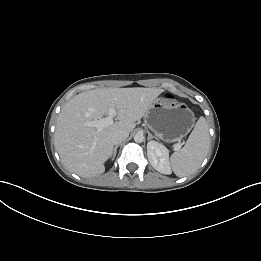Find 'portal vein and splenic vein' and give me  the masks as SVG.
Instances as JSON below:
<instances>
[{"label": "portal vein and splenic vein", "mask_w": 261, "mask_h": 261, "mask_svg": "<svg viewBox=\"0 0 261 261\" xmlns=\"http://www.w3.org/2000/svg\"><path fill=\"white\" fill-rule=\"evenodd\" d=\"M116 115V110L114 108H110L108 111V116L99 120H95V121H89L86 122L85 125L89 126V127H95L97 128V130H101L104 127H107L109 125H112L114 123L113 118ZM181 149V144H177L174 147V150L178 151Z\"/></svg>", "instance_id": "18ae733b"}]
</instances>
